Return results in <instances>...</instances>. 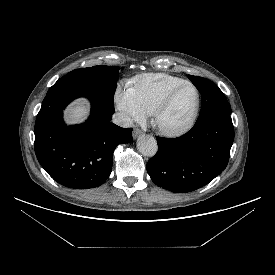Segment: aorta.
I'll return each instance as SVG.
<instances>
[{
    "instance_id": "aorta-1",
    "label": "aorta",
    "mask_w": 275,
    "mask_h": 275,
    "mask_svg": "<svg viewBox=\"0 0 275 275\" xmlns=\"http://www.w3.org/2000/svg\"><path fill=\"white\" fill-rule=\"evenodd\" d=\"M137 148L147 157L154 156L158 150L155 138L150 135H141L137 140Z\"/></svg>"
}]
</instances>
